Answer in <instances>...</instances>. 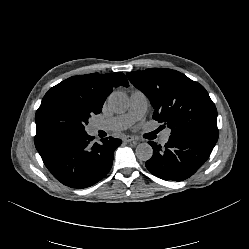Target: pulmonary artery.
Instances as JSON below:
<instances>
[{
  "mask_svg": "<svg viewBox=\"0 0 249 249\" xmlns=\"http://www.w3.org/2000/svg\"><path fill=\"white\" fill-rule=\"evenodd\" d=\"M148 99L146 95L135 90L130 96V107L127 113L118 115L116 117L94 122L91 124L90 134L96 135L99 130H112L119 131L124 130L132 126L136 121L141 120L147 111ZM170 137V130L166 129L160 135V142L166 144Z\"/></svg>",
  "mask_w": 249,
  "mask_h": 249,
  "instance_id": "1",
  "label": "pulmonary artery"
}]
</instances>
